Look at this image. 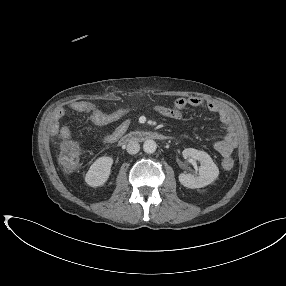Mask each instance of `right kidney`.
<instances>
[{"mask_svg": "<svg viewBox=\"0 0 286 286\" xmlns=\"http://www.w3.org/2000/svg\"><path fill=\"white\" fill-rule=\"evenodd\" d=\"M112 164V157L103 156L98 158L86 173L85 182L91 187L103 186L110 176Z\"/></svg>", "mask_w": 286, "mask_h": 286, "instance_id": "ca27d5eb", "label": "right kidney"}]
</instances>
